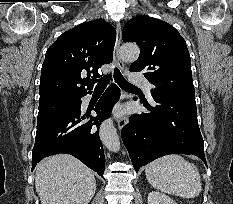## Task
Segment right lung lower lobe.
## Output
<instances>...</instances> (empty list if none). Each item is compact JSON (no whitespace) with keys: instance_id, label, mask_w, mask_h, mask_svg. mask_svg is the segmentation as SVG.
<instances>
[{"instance_id":"98d812e1","label":"right lung lower lobe","mask_w":233,"mask_h":204,"mask_svg":"<svg viewBox=\"0 0 233 204\" xmlns=\"http://www.w3.org/2000/svg\"><path fill=\"white\" fill-rule=\"evenodd\" d=\"M119 96L120 90L116 85L108 87L94 108L97 117L81 113V97H83L81 96L79 103L70 112L37 127L32 150V170L43 158L65 153L78 158L103 176L105 156L98 128L101 121L111 115V110ZM88 118L90 120L86 121Z\"/></svg>"}]
</instances>
